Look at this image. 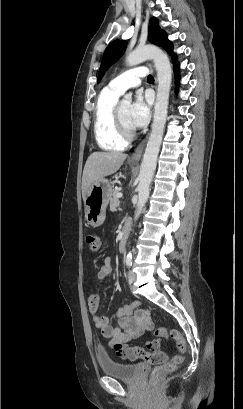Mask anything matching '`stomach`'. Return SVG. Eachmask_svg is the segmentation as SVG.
<instances>
[{
	"label": "stomach",
	"instance_id": "1",
	"mask_svg": "<svg viewBox=\"0 0 243 409\" xmlns=\"http://www.w3.org/2000/svg\"><path fill=\"white\" fill-rule=\"evenodd\" d=\"M112 193L110 182L105 178L92 185L84 198L85 218L88 224L93 227L103 224Z\"/></svg>",
	"mask_w": 243,
	"mask_h": 409
}]
</instances>
